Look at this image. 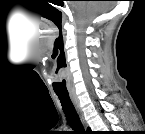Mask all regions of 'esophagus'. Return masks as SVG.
<instances>
[{
    "instance_id": "1",
    "label": "esophagus",
    "mask_w": 145,
    "mask_h": 134,
    "mask_svg": "<svg viewBox=\"0 0 145 134\" xmlns=\"http://www.w3.org/2000/svg\"><path fill=\"white\" fill-rule=\"evenodd\" d=\"M71 100H72L77 112L79 113L81 120L84 122L83 115L81 113V109H80L79 101H78L77 97L76 96H71Z\"/></svg>"
}]
</instances>
